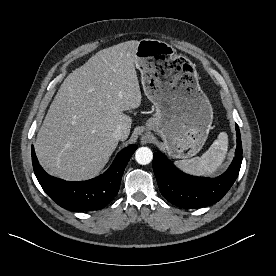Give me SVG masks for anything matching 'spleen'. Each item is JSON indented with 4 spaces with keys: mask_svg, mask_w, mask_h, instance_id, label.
Here are the masks:
<instances>
[{
    "mask_svg": "<svg viewBox=\"0 0 276 276\" xmlns=\"http://www.w3.org/2000/svg\"><path fill=\"white\" fill-rule=\"evenodd\" d=\"M228 150V136L221 132L210 148L201 156L192 159L175 161L182 171L196 176L214 173L225 159Z\"/></svg>",
    "mask_w": 276,
    "mask_h": 276,
    "instance_id": "1",
    "label": "spleen"
}]
</instances>
